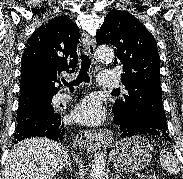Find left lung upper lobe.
<instances>
[{"instance_id": "left-lung-upper-lobe-1", "label": "left lung upper lobe", "mask_w": 183, "mask_h": 179, "mask_svg": "<svg viewBox=\"0 0 183 179\" xmlns=\"http://www.w3.org/2000/svg\"><path fill=\"white\" fill-rule=\"evenodd\" d=\"M99 45L114 47V66L123 70L128 95L115 101V114L167 130L159 78L157 43L142 23L125 11H111L97 32Z\"/></svg>"}]
</instances>
